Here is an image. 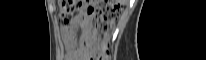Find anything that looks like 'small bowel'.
<instances>
[{
	"mask_svg": "<svg viewBox=\"0 0 206 60\" xmlns=\"http://www.w3.org/2000/svg\"><path fill=\"white\" fill-rule=\"evenodd\" d=\"M82 22L86 23L87 20L84 19ZM74 31H75L74 26H63L62 27V36L66 43V50H67L66 59L67 60H81L82 59V55L80 51L76 49L74 41H73Z\"/></svg>",
	"mask_w": 206,
	"mask_h": 60,
	"instance_id": "obj_1",
	"label": "small bowel"
}]
</instances>
